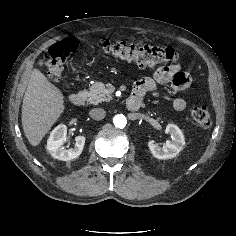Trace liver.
<instances>
[{"instance_id":"6515ba94","label":"liver","mask_w":236,"mask_h":236,"mask_svg":"<svg viewBox=\"0 0 236 236\" xmlns=\"http://www.w3.org/2000/svg\"><path fill=\"white\" fill-rule=\"evenodd\" d=\"M65 109L61 91L38 69L31 77L22 104V127L32 146H37Z\"/></svg>"}]
</instances>
